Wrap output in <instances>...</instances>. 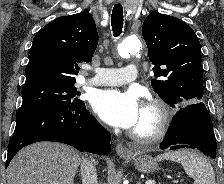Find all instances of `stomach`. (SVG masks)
I'll use <instances>...</instances> for the list:
<instances>
[{"label":"stomach","instance_id":"0dacf381","mask_svg":"<svg viewBox=\"0 0 224 184\" xmlns=\"http://www.w3.org/2000/svg\"><path fill=\"white\" fill-rule=\"evenodd\" d=\"M124 160L132 162L135 168L141 173H152L157 169V163L148 155L123 157Z\"/></svg>","mask_w":224,"mask_h":184}]
</instances>
